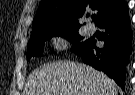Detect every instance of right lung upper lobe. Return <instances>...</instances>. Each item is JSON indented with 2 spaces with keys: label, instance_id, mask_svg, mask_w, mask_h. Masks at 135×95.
<instances>
[{
  "label": "right lung upper lobe",
  "instance_id": "right-lung-upper-lobe-1",
  "mask_svg": "<svg viewBox=\"0 0 135 95\" xmlns=\"http://www.w3.org/2000/svg\"><path fill=\"white\" fill-rule=\"evenodd\" d=\"M85 9L98 11V26L128 14V6L124 0H42L32 33L78 30L81 26L78 18L83 15Z\"/></svg>",
  "mask_w": 135,
  "mask_h": 95
}]
</instances>
